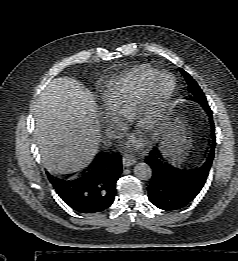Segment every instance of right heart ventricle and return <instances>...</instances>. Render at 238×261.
Wrapping results in <instances>:
<instances>
[{"mask_svg":"<svg viewBox=\"0 0 238 261\" xmlns=\"http://www.w3.org/2000/svg\"><path fill=\"white\" fill-rule=\"evenodd\" d=\"M156 72L149 65H139L112 81L101 93L106 110L130 115L141 95L145 82Z\"/></svg>","mask_w":238,"mask_h":261,"instance_id":"right-heart-ventricle-1","label":"right heart ventricle"}]
</instances>
